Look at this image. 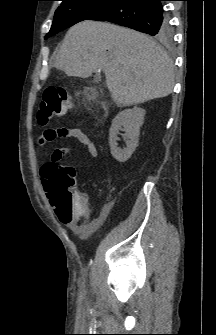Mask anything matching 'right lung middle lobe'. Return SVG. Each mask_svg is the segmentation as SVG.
<instances>
[{"label": "right lung middle lobe", "instance_id": "dd1d6c3e", "mask_svg": "<svg viewBox=\"0 0 216 335\" xmlns=\"http://www.w3.org/2000/svg\"><path fill=\"white\" fill-rule=\"evenodd\" d=\"M62 4L55 12L51 30L45 39L71 27L72 25L89 20L94 15L111 5L116 0H61ZM171 37L170 27L156 36L158 40H168Z\"/></svg>", "mask_w": 216, "mask_h": 335}]
</instances>
